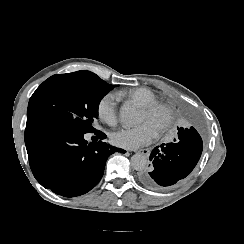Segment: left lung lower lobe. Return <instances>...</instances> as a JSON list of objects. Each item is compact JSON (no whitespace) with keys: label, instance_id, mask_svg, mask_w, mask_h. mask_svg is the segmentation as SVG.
I'll use <instances>...</instances> for the list:
<instances>
[{"label":"left lung lower lobe","instance_id":"obj_1","mask_svg":"<svg viewBox=\"0 0 244 244\" xmlns=\"http://www.w3.org/2000/svg\"><path fill=\"white\" fill-rule=\"evenodd\" d=\"M178 138L173 143L153 149L150 160L153 167L139 173L142 185L153 190H171L188 176L200 159L203 142L200 123L189 116L184 127H177Z\"/></svg>","mask_w":244,"mask_h":244}]
</instances>
